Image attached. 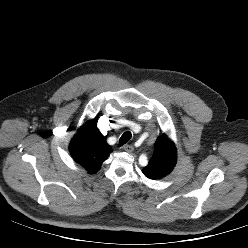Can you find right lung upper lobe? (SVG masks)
<instances>
[{
    "label": "right lung upper lobe",
    "instance_id": "obj_1",
    "mask_svg": "<svg viewBox=\"0 0 248 248\" xmlns=\"http://www.w3.org/2000/svg\"><path fill=\"white\" fill-rule=\"evenodd\" d=\"M93 119L85 123L73 137L69 151L74 160L86 168L89 174L99 171L102 163L112 152Z\"/></svg>",
    "mask_w": 248,
    "mask_h": 248
}]
</instances>
